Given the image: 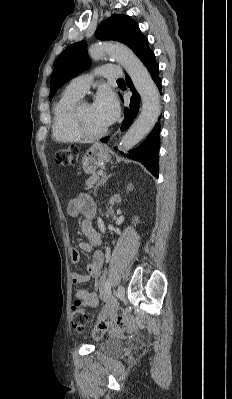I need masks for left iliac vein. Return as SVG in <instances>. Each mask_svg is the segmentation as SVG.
<instances>
[{"mask_svg": "<svg viewBox=\"0 0 232 399\" xmlns=\"http://www.w3.org/2000/svg\"><path fill=\"white\" fill-rule=\"evenodd\" d=\"M125 293H126V288H123L122 285H120V286H119V292H118L119 298H120V299H123Z\"/></svg>", "mask_w": 232, "mask_h": 399, "instance_id": "obj_1", "label": "left iliac vein"}]
</instances>
